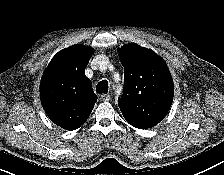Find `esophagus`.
Returning a JSON list of instances; mask_svg holds the SVG:
<instances>
[{"instance_id":"34e87169","label":"esophagus","mask_w":224,"mask_h":175,"mask_svg":"<svg viewBox=\"0 0 224 175\" xmlns=\"http://www.w3.org/2000/svg\"><path fill=\"white\" fill-rule=\"evenodd\" d=\"M110 98H111V97H110L109 94H102V95L99 96V99H100L101 101H103V102H107V101H109Z\"/></svg>"}]
</instances>
